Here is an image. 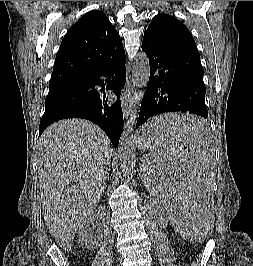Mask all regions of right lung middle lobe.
<instances>
[{
  "label": "right lung middle lobe",
  "mask_w": 253,
  "mask_h": 266,
  "mask_svg": "<svg viewBox=\"0 0 253 266\" xmlns=\"http://www.w3.org/2000/svg\"><path fill=\"white\" fill-rule=\"evenodd\" d=\"M76 83L77 82L62 83L50 86L48 95L45 99V112L51 111L60 103H62L64 98L68 96L69 92L76 85Z\"/></svg>",
  "instance_id": "dd1d6c3e"
}]
</instances>
